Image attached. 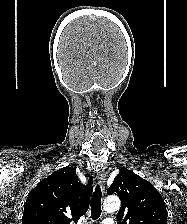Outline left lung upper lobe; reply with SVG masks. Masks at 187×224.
I'll return each mask as SVG.
<instances>
[{"mask_svg":"<svg viewBox=\"0 0 187 224\" xmlns=\"http://www.w3.org/2000/svg\"><path fill=\"white\" fill-rule=\"evenodd\" d=\"M107 193L121 199L117 220L122 224H167V210L161 194L131 170L121 168Z\"/></svg>","mask_w":187,"mask_h":224,"instance_id":"left-lung-upper-lobe-1","label":"left lung upper lobe"}]
</instances>
